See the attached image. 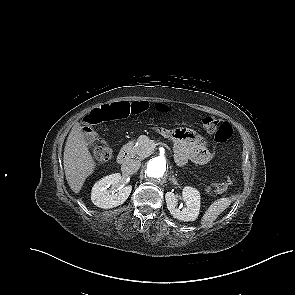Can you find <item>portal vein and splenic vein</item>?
I'll return each mask as SVG.
<instances>
[{
  "label": "portal vein and splenic vein",
  "instance_id": "18ae733b",
  "mask_svg": "<svg viewBox=\"0 0 295 295\" xmlns=\"http://www.w3.org/2000/svg\"><path fill=\"white\" fill-rule=\"evenodd\" d=\"M155 147V145H152V149Z\"/></svg>",
  "mask_w": 295,
  "mask_h": 295
}]
</instances>
